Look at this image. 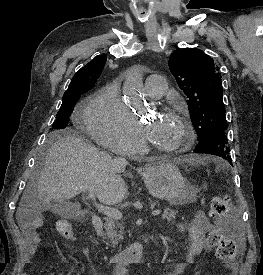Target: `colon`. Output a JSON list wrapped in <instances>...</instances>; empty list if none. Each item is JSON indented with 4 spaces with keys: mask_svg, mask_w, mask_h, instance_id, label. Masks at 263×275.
<instances>
[{
    "mask_svg": "<svg viewBox=\"0 0 263 275\" xmlns=\"http://www.w3.org/2000/svg\"><path fill=\"white\" fill-rule=\"evenodd\" d=\"M230 214V203L226 196H216L211 201L210 215L217 221L226 220ZM57 232L67 240L75 238V232L71 224L59 221L56 224ZM209 243L216 248L219 260L230 266L236 256L237 247L235 242L225 236L220 230H215L209 237Z\"/></svg>",
    "mask_w": 263,
    "mask_h": 275,
    "instance_id": "5ec220e1",
    "label": "colon"
}]
</instances>
